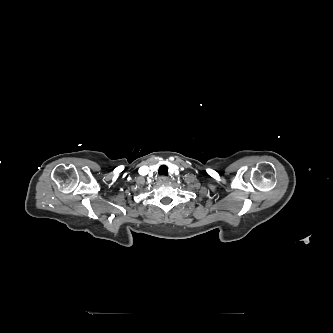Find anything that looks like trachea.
Instances as JSON below:
<instances>
[{
  "label": "trachea",
  "instance_id": "3493384b",
  "mask_svg": "<svg viewBox=\"0 0 333 333\" xmlns=\"http://www.w3.org/2000/svg\"><path fill=\"white\" fill-rule=\"evenodd\" d=\"M158 172L159 175L168 176V167L166 165H161Z\"/></svg>",
  "mask_w": 333,
  "mask_h": 333
}]
</instances>
